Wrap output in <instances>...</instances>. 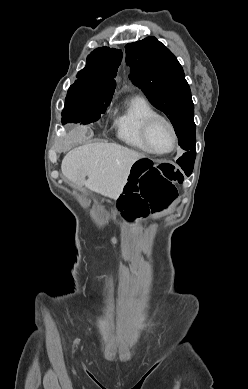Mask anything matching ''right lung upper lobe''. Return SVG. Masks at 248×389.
I'll return each instance as SVG.
<instances>
[{
    "label": "right lung upper lobe",
    "mask_w": 248,
    "mask_h": 389,
    "mask_svg": "<svg viewBox=\"0 0 248 389\" xmlns=\"http://www.w3.org/2000/svg\"><path fill=\"white\" fill-rule=\"evenodd\" d=\"M122 60V51L101 47L87 57L86 67L77 74V81L86 88L101 92L114 93L116 72Z\"/></svg>",
    "instance_id": "obj_1"
}]
</instances>
